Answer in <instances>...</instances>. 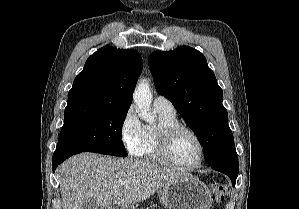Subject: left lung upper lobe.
<instances>
[{
	"instance_id": "5c2ea615",
	"label": "left lung upper lobe",
	"mask_w": 299,
	"mask_h": 209,
	"mask_svg": "<svg viewBox=\"0 0 299 209\" xmlns=\"http://www.w3.org/2000/svg\"><path fill=\"white\" fill-rule=\"evenodd\" d=\"M149 68L157 92L169 99L186 120L211 165L234 144V139L222 104V89L204 55L189 46L156 51L149 57Z\"/></svg>"
}]
</instances>
